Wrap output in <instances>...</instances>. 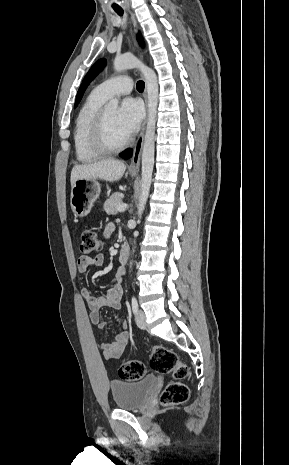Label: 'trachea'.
Wrapping results in <instances>:
<instances>
[{
	"label": "trachea",
	"instance_id": "trachea-1",
	"mask_svg": "<svg viewBox=\"0 0 289 465\" xmlns=\"http://www.w3.org/2000/svg\"><path fill=\"white\" fill-rule=\"evenodd\" d=\"M115 12L122 16L123 15V10H115ZM136 88L139 92H142L144 90V82L143 81H138L137 82V85H136Z\"/></svg>",
	"mask_w": 289,
	"mask_h": 465
}]
</instances>
